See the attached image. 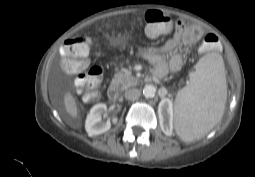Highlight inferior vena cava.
Listing matches in <instances>:
<instances>
[{"label":"inferior vena cava","instance_id":"obj_1","mask_svg":"<svg viewBox=\"0 0 255 177\" xmlns=\"http://www.w3.org/2000/svg\"><path fill=\"white\" fill-rule=\"evenodd\" d=\"M141 95V91L136 88L129 89L125 92V98L128 100L138 99Z\"/></svg>","mask_w":255,"mask_h":177}]
</instances>
